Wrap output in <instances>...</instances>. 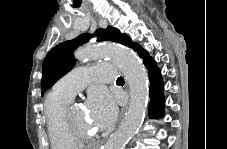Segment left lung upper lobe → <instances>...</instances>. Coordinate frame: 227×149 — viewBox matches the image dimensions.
<instances>
[{"label": "left lung upper lobe", "instance_id": "obj_1", "mask_svg": "<svg viewBox=\"0 0 227 149\" xmlns=\"http://www.w3.org/2000/svg\"><path fill=\"white\" fill-rule=\"evenodd\" d=\"M98 36L97 41H113L127 45L130 38L118 29L108 26L107 29H97L94 34H81L73 40L65 41L54 47L46 56L42 65V94L58 79L71 70L75 63L72 52L87 43L92 37Z\"/></svg>", "mask_w": 227, "mask_h": 149}]
</instances>
